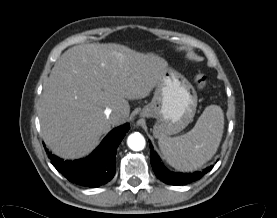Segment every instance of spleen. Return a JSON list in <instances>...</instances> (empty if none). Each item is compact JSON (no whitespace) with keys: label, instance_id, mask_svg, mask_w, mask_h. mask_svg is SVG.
<instances>
[{"label":"spleen","instance_id":"spleen-1","mask_svg":"<svg viewBox=\"0 0 277 218\" xmlns=\"http://www.w3.org/2000/svg\"><path fill=\"white\" fill-rule=\"evenodd\" d=\"M224 130L220 106L209 105L189 132L178 137H160V151L169 165L182 171L200 168L216 153Z\"/></svg>","mask_w":277,"mask_h":218}]
</instances>
